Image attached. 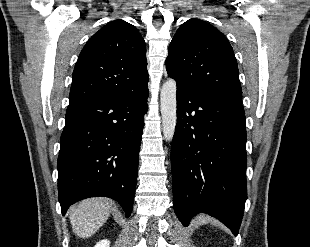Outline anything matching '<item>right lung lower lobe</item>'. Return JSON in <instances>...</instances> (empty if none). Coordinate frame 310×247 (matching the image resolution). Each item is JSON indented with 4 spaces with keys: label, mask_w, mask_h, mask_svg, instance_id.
Returning <instances> with one entry per match:
<instances>
[{
    "label": "right lung lower lobe",
    "mask_w": 310,
    "mask_h": 247,
    "mask_svg": "<svg viewBox=\"0 0 310 247\" xmlns=\"http://www.w3.org/2000/svg\"><path fill=\"white\" fill-rule=\"evenodd\" d=\"M148 87L69 103L58 157V198L64 215L94 196L120 203L129 217L138 173Z\"/></svg>",
    "instance_id": "right-lung-lower-lobe-1"
}]
</instances>
